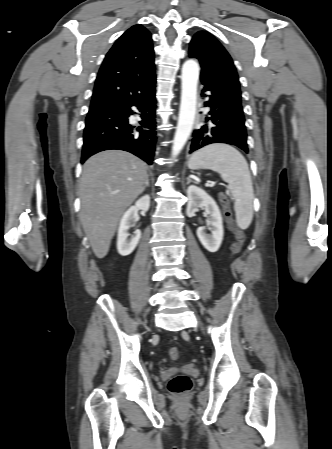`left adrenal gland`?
I'll list each match as a JSON object with an SVG mask.
<instances>
[{"instance_id": "a2214340", "label": "left adrenal gland", "mask_w": 332, "mask_h": 449, "mask_svg": "<svg viewBox=\"0 0 332 449\" xmlns=\"http://www.w3.org/2000/svg\"><path fill=\"white\" fill-rule=\"evenodd\" d=\"M190 182H193L191 178H187V184H189Z\"/></svg>"}]
</instances>
